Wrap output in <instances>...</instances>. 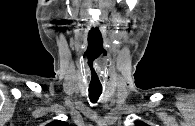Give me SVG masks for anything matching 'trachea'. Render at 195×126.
Masks as SVG:
<instances>
[{
	"instance_id": "trachea-1",
	"label": "trachea",
	"mask_w": 195,
	"mask_h": 126,
	"mask_svg": "<svg viewBox=\"0 0 195 126\" xmlns=\"http://www.w3.org/2000/svg\"><path fill=\"white\" fill-rule=\"evenodd\" d=\"M102 93V88L89 86V99L92 103H96Z\"/></svg>"
}]
</instances>
